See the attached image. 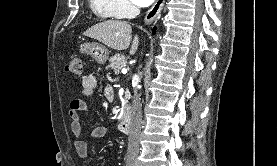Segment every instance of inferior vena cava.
<instances>
[{
  "instance_id": "1",
  "label": "inferior vena cava",
  "mask_w": 277,
  "mask_h": 166,
  "mask_svg": "<svg viewBox=\"0 0 277 166\" xmlns=\"http://www.w3.org/2000/svg\"><path fill=\"white\" fill-rule=\"evenodd\" d=\"M136 12L139 13V9L136 8ZM140 96L137 89H134V100H133V117L131 122L130 133L128 137V150L127 157H136L139 152V136L141 133L142 125V111H141Z\"/></svg>"
}]
</instances>
